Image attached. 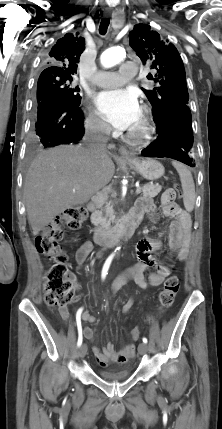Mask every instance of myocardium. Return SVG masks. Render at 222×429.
<instances>
[{"label":"myocardium","mask_w":222,"mask_h":429,"mask_svg":"<svg viewBox=\"0 0 222 429\" xmlns=\"http://www.w3.org/2000/svg\"><path fill=\"white\" fill-rule=\"evenodd\" d=\"M152 133L153 126L149 110L143 107L139 123L128 132L127 138L134 145H143L150 140Z\"/></svg>","instance_id":"myocardium-1"}]
</instances>
